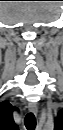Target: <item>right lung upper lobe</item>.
I'll use <instances>...</instances> for the list:
<instances>
[{"label":"right lung upper lobe","mask_w":63,"mask_h":130,"mask_svg":"<svg viewBox=\"0 0 63 130\" xmlns=\"http://www.w3.org/2000/svg\"><path fill=\"white\" fill-rule=\"evenodd\" d=\"M0 109L1 125L8 128V130H18V126L15 124L12 115L13 111L17 110V108L13 107L9 102L3 101L0 103Z\"/></svg>","instance_id":"obj_1"}]
</instances>
